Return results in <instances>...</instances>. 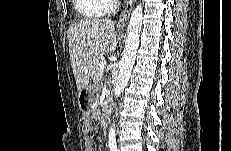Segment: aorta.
I'll return each instance as SVG.
<instances>
[{
	"label": "aorta",
	"instance_id": "obj_1",
	"mask_svg": "<svg viewBox=\"0 0 231 151\" xmlns=\"http://www.w3.org/2000/svg\"><path fill=\"white\" fill-rule=\"evenodd\" d=\"M142 21L143 7L141 4H138L136 8L132 11L130 17L128 25L127 43L122 55V59L119 63V75L114 89L116 97H119L120 94L123 92L129 80L132 68L134 66L137 50L140 43ZM108 137L109 144H115L116 138L114 124L109 129Z\"/></svg>",
	"mask_w": 231,
	"mask_h": 151
}]
</instances>
